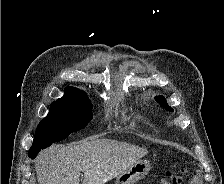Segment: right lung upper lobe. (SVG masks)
Listing matches in <instances>:
<instances>
[{"mask_svg": "<svg viewBox=\"0 0 224 184\" xmlns=\"http://www.w3.org/2000/svg\"><path fill=\"white\" fill-rule=\"evenodd\" d=\"M85 98H88L84 91L79 90L74 87H67L64 90V96L57 101H81Z\"/></svg>", "mask_w": 224, "mask_h": 184, "instance_id": "obj_1", "label": "right lung upper lobe"}]
</instances>
